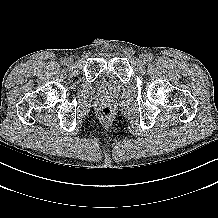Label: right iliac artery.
Listing matches in <instances>:
<instances>
[{
    "instance_id": "82829eb1",
    "label": "right iliac artery",
    "mask_w": 218,
    "mask_h": 218,
    "mask_svg": "<svg viewBox=\"0 0 218 218\" xmlns=\"http://www.w3.org/2000/svg\"><path fill=\"white\" fill-rule=\"evenodd\" d=\"M61 64H62V65H65V64H66V59H65V58L61 59Z\"/></svg>"
}]
</instances>
